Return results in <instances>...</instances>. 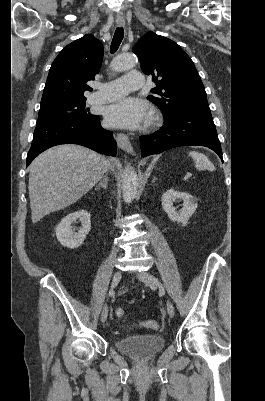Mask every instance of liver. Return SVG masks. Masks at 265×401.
Segmentation results:
<instances>
[{
	"instance_id": "obj_1",
	"label": "liver",
	"mask_w": 265,
	"mask_h": 401,
	"mask_svg": "<svg viewBox=\"0 0 265 401\" xmlns=\"http://www.w3.org/2000/svg\"><path fill=\"white\" fill-rule=\"evenodd\" d=\"M107 166L110 160L105 156L76 144H60L41 152L29 166L32 223L76 203L104 176Z\"/></svg>"
}]
</instances>
